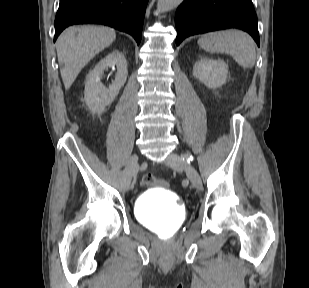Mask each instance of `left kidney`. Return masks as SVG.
<instances>
[{
  "label": "left kidney",
  "mask_w": 309,
  "mask_h": 288,
  "mask_svg": "<svg viewBox=\"0 0 309 288\" xmlns=\"http://www.w3.org/2000/svg\"><path fill=\"white\" fill-rule=\"evenodd\" d=\"M193 75L208 88H218L226 83L228 65L222 59L202 57L194 64Z\"/></svg>",
  "instance_id": "obj_1"
}]
</instances>
